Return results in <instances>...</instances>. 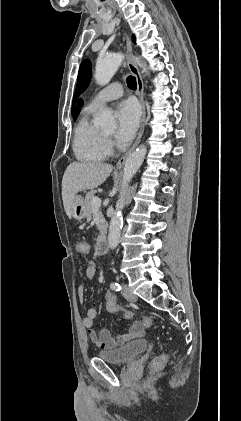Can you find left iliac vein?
I'll return each mask as SVG.
<instances>
[{
    "instance_id": "obj_1",
    "label": "left iliac vein",
    "mask_w": 241,
    "mask_h": 421,
    "mask_svg": "<svg viewBox=\"0 0 241 421\" xmlns=\"http://www.w3.org/2000/svg\"><path fill=\"white\" fill-rule=\"evenodd\" d=\"M121 293H122L123 297L128 301L134 302V301L137 300V296L132 292L131 288L126 284L122 285V292Z\"/></svg>"
}]
</instances>
